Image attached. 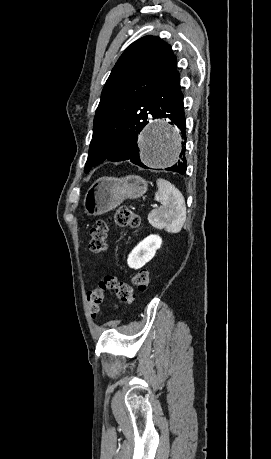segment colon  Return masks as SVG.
<instances>
[{
    "mask_svg": "<svg viewBox=\"0 0 271 459\" xmlns=\"http://www.w3.org/2000/svg\"><path fill=\"white\" fill-rule=\"evenodd\" d=\"M112 222L117 227L138 229L142 225L141 218L127 207L116 210L110 220H97L90 230L89 249L98 254L106 249V238L109 223ZM132 283L139 290L144 291L149 285V274L145 270H138L132 275ZM107 291H112L116 297L124 302L131 303L134 300L132 287L113 276L104 277L99 284L87 294L90 312L95 317L99 312V307Z\"/></svg>",
    "mask_w": 271,
    "mask_h": 459,
    "instance_id": "colon-1",
    "label": "colon"
}]
</instances>
